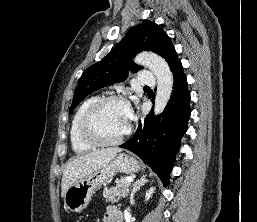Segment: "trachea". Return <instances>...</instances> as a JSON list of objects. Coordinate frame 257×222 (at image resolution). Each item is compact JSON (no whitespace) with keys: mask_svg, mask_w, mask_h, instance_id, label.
<instances>
[{"mask_svg":"<svg viewBox=\"0 0 257 222\" xmlns=\"http://www.w3.org/2000/svg\"><path fill=\"white\" fill-rule=\"evenodd\" d=\"M144 88H149L148 86H145Z\"/></svg>","mask_w":257,"mask_h":222,"instance_id":"1","label":"trachea"}]
</instances>
